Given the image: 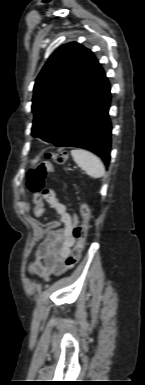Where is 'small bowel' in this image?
Returning <instances> with one entry per match:
<instances>
[{
	"label": "small bowel",
	"mask_w": 145,
	"mask_h": 385,
	"mask_svg": "<svg viewBox=\"0 0 145 385\" xmlns=\"http://www.w3.org/2000/svg\"><path fill=\"white\" fill-rule=\"evenodd\" d=\"M45 204L55 210L59 220L47 223L48 232L35 253V259L29 263V272L32 276L48 280L52 275H62L72 267L68 258L75 243L72 226L76 224L77 216L69 213L52 189H45L39 201L35 202L33 213L36 217L43 216Z\"/></svg>",
	"instance_id": "1"
}]
</instances>
